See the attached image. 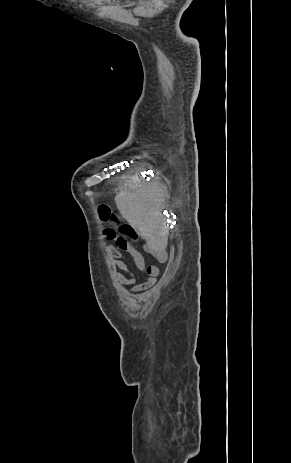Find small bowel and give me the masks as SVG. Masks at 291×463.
<instances>
[{"label": "small bowel", "mask_w": 291, "mask_h": 463, "mask_svg": "<svg viewBox=\"0 0 291 463\" xmlns=\"http://www.w3.org/2000/svg\"><path fill=\"white\" fill-rule=\"evenodd\" d=\"M116 241L115 245H109L108 251L112 256V263L117 269L115 272L116 280L125 285H131L130 290L132 292H141L153 287L157 281L159 275V269L156 266H147L145 263L144 256L135 249L125 237L115 235L113 237ZM148 252L153 254L159 261L165 259V253L156 248L147 247ZM123 252L128 253L137 269L147 274L145 281L137 284L135 276L129 271L128 266L123 261ZM122 272L128 273L129 276L124 275Z\"/></svg>", "instance_id": "1"}]
</instances>
